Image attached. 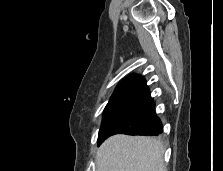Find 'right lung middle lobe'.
I'll return each instance as SVG.
<instances>
[{
	"mask_svg": "<svg viewBox=\"0 0 223 171\" xmlns=\"http://www.w3.org/2000/svg\"><path fill=\"white\" fill-rule=\"evenodd\" d=\"M135 98H111L104 109L103 120L98 141L103 137L108 127L114 123L135 101Z\"/></svg>",
	"mask_w": 223,
	"mask_h": 171,
	"instance_id": "right-lung-middle-lobe-1",
	"label": "right lung middle lobe"
}]
</instances>
